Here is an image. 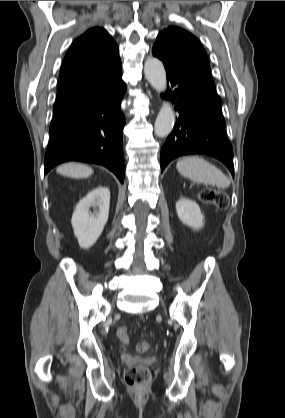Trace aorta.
I'll use <instances>...</instances> for the list:
<instances>
[{"label":"aorta","mask_w":285,"mask_h":418,"mask_svg":"<svg viewBox=\"0 0 285 418\" xmlns=\"http://www.w3.org/2000/svg\"><path fill=\"white\" fill-rule=\"evenodd\" d=\"M144 74L150 85L159 93L166 90V72L162 62L157 58H148L144 64ZM175 122L174 110L169 102H163L155 121L154 131L158 137L168 136Z\"/></svg>","instance_id":"762f6f07"}]
</instances>
